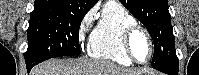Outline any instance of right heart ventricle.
I'll return each instance as SVG.
<instances>
[{"label": "right heart ventricle", "mask_w": 199, "mask_h": 75, "mask_svg": "<svg viewBox=\"0 0 199 75\" xmlns=\"http://www.w3.org/2000/svg\"><path fill=\"white\" fill-rule=\"evenodd\" d=\"M135 22L134 16L124 7L115 3L106 5L90 35L88 54L119 65H131L133 61L125 51L122 33Z\"/></svg>", "instance_id": "1"}]
</instances>
